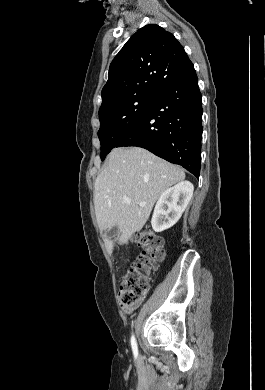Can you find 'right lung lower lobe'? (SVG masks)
Returning <instances> with one entry per match:
<instances>
[{"label": "right lung lower lobe", "instance_id": "1", "mask_svg": "<svg viewBox=\"0 0 265 390\" xmlns=\"http://www.w3.org/2000/svg\"><path fill=\"white\" fill-rule=\"evenodd\" d=\"M201 139L202 99L192 64L155 94L116 147L145 148L199 178Z\"/></svg>", "mask_w": 265, "mask_h": 390}]
</instances>
